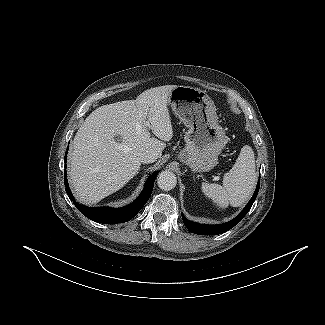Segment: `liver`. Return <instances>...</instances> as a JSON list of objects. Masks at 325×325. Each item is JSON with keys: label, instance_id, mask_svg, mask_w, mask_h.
I'll return each instance as SVG.
<instances>
[{"label": "liver", "instance_id": "liver-1", "mask_svg": "<svg viewBox=\"0 0 325 325\" xmlns=\"http://www.w3.org/2000/svg\"><path fill=\"white\" fill-rule=\"evenodd\" d=\"M175 87L147 89L136 100L100 106L86 118L69 155L70 182L80 202L95 204L121 189L138 173L144 151L162 155L173 137L167 105Z\"/></svg>", "mask_w": 325, "mask_h": 325}]
</instances>
